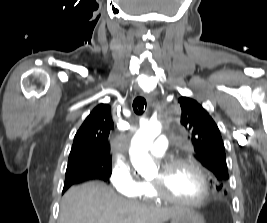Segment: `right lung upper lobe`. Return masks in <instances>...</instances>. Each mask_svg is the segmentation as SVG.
<instances>
[{"mask_svg":"<svg viewBox=\"0 0 267 223\" xmlns=\"http://www.w3.org/2000/svg\"><path fill=\"white\" fill-rule=\"evenodd\" d=\"M114 128L108 104H99L77 131L68 163L82 160L93 162L91 171L106 173L111 161L108 136Z\"/></svg>","mask_w":267,"mask_h":223,"instance_id":"1","label":"right lung upper lobe"}]
</instances>
